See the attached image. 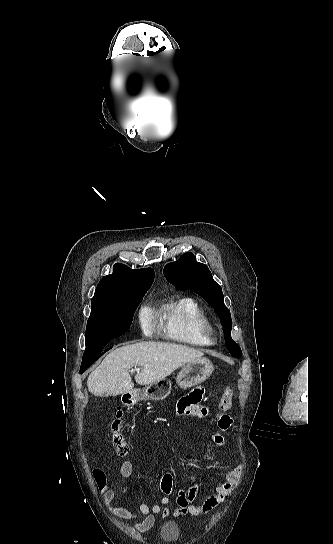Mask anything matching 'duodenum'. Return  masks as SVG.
<instances>
[{
	"label": "duodenum",
	"mask_w": 333,
	"mask_h": 544,
	"mask_svg": "<svg viewBox=\"0 0 333 544\" xmlns=\"http://www.w3.org/2000/svg\"><path fill=\"white\" fill-rule=\"evenodd\" d=\"M131 400H132L131 396H130V395H126L125 402H126V403H131Z\"/></svg>",
	"instance_id": "duodenum-1"
}]
</instances>
